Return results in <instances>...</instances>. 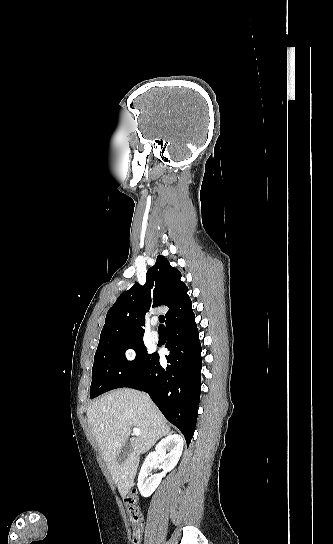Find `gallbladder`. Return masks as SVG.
Masks as SVG:
<instances>
[{
    "label": "gallbladder",
    "mask_w": 333,
    "mask_h": 544,
    "mask_svg": "<svg viewBox=\"0 0 333 544\" xmlns=\"http://www.w3.org/2000/svg\"><path fill=\"white\" fill-rule=\"evenodd\" d=\"M133 451V448L130 444V442H126L122 448L120 449L117 457H116V460L117 462H123L125 461L132 453Z\"/></svg>",
    "instance_id": "1"
}]
</instances>
